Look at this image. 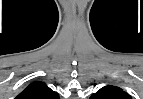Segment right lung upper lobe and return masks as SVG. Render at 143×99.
Returning <instances> with one entry per match:
<instances>
[{"mask_svg":"<svg viewBox=\"0 0 143 99\" xmlns=\"http://www.w3.org/2000/svg\"><path fill=\"white\" fill-rule=\"evenodd\" d=\"M16 99H59V95L44 82L35 81L28 85Z\"/></svg>","mask_w":143,"mask_h":99,"instance_id":"right-lung-upper-lobe-1","label":"right lung upper lobe"}]
</instances>
